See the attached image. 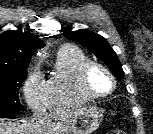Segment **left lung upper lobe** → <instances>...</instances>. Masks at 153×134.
I'll list each match as a JSON object with an SVG mask.
<instances>
[{
  "label": "left lung upper lobe",
  "instance_id": "5c2ea615",
  "mask_svg": "<svg viewBox=\"0 0 153 134\" xmlns=\"http://www.w3.org/2000/svg\"><path fill=\"white\" fill-rule=\"evenodd\" d=\"M63 35L65 38L78 42L82 46L91 50L109 67L111 72L118 79L124 77V71L116 53L111 48L107 40L101 35L93 33L89 30L66 31L63 33Z\"/></svg>",
  "mask_w": 153,
  "mask_h": 134
}]
</instances>
